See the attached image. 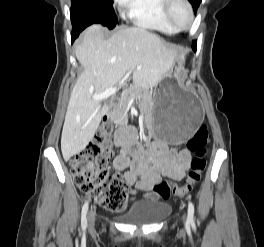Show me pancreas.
<instances>
[{
	"label": "pancreas",
	"instance_id": "pancreas-1",
	"mask_svg": "<svg viewBox=\"0 0 264 247\" xmlns=\"http://www.w3.org/2000/svg\"><path fill=\"white\" fill-rule=\"evenodd\" d=\"M143 95V90L139 85H134L133 87L126 90L119 103L115 107L112 112L111 119L118 124H125L127 121V113H128V104L130 99L135 96L139 97Z\"/></svg>",
	"mask_w": 264,
	"mask_h": 247
}]
</instances>
